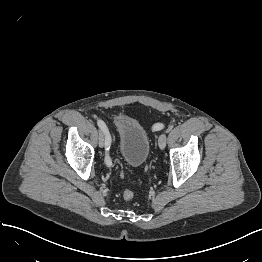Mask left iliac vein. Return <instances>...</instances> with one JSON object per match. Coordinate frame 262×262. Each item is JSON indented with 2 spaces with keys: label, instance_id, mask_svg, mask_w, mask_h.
<instances>
[{
  "label": "left iliac vein",
  "instance_id": "4c4485c4",
  "mask_svg": "<svg viewBox=\"0 0 262 262\" xmlns=\"http://www.w3.org/2000/svg\"><path fill=\"white\" fill-rule=\"evenodd\" d=\"M166 134L162 133L160 136H159V140H158V145H159V148L161 150H163L166 146Z\"/></svg>",
  "mask_w": 262,
  "mask_h": 262
}]
</instances>
